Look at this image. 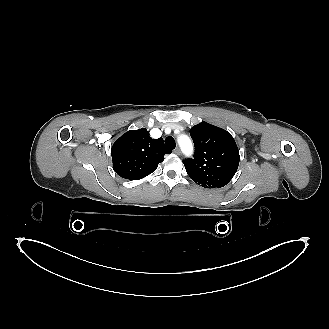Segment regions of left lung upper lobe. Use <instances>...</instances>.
<instances>
[{
	"label": "left lung upper lobe",
	"mask_w": 329,
	"mask_h": 329,
	"mask_svg": "<svg viewBox=\"0 0 329 329\" xmlns=\"http://www.w3.org/2000/svg\"><path fill=\"white\" fill-rule=\"evenodd\" d=\"M195 145L194 158L183 164L190 178L206 188H220L233 178L239 165L234 138L222 128L201 122L190 129Z\"/></svg>",
	"instance_id": "5c2ea615"
}]
</instances>
